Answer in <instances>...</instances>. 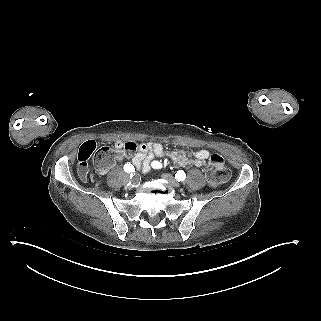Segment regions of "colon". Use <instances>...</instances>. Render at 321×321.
Returning a JSON list of instances; mask_svg holds the SVG:
<instances>
[{
  "label": "colon",
  "instance_id": "1",
  "mask_svg": "<svg viewBox=\"0 0 321 321\" xmlns=\"http://www.w3.org/2000/svg\"><path fill=\"white\" fill-rule=\"evenodd\" d=\"M138 148L136 142H126L124 143V149L128 152H135ZM86 154L78 157V173L80 177H88V163H87ZM99 160L100 162L107 161V158L102 156L100 153H97L95 161ZM229 178V170L225 164L224 158L218 154L213 153L210 155L208 160V165L206 169V179L208 183L212 186L220 185L227 181Z\"/></svg>",
  "mask_w": 321,
  "mask_h": 321
}]
</instances>
